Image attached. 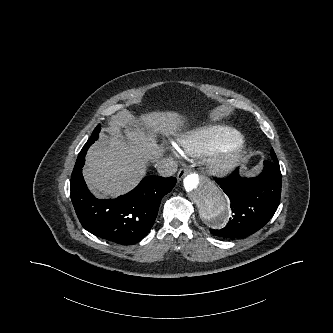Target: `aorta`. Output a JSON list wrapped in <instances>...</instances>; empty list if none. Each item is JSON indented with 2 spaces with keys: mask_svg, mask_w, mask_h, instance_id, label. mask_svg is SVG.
Here are the masks:
<instances>
[{
  "mask_svg": "<svg viewBox=\"0 0 333 333\" xmlns=\"http://www.w3.org/2000/svg\"><path fill=\"white\" fill-rule=\"evenodd\" d=\"M183 184L189 202L202 221L218 225L227 216L226 196L211 179L189 173L184 178Z\"/></svg>",
  "mask_w": 333,
  "mask_h": 333,
  "instance_id": "aorta-1",
  "label": "aorta"
}]
</instances>
